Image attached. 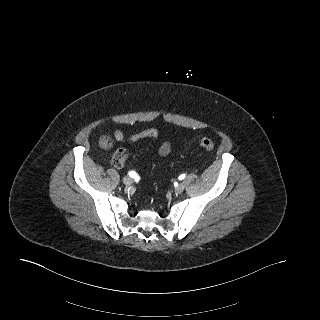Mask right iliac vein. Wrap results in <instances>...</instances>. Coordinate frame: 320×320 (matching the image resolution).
Here are the masks:
<instances>
[{"mask_svg":"<svg viewBox=\"0 0 320 320\" xmlns=\"http://www.w3.org/2000/svg\"><path fill=\"white\" fill-rule=\"evenodd\" d=\"M132 182H133L132 179L130 177H128V176H125L123 178V183L126 184V185H130V184H132Z\"/></svg>","mask_w":320,"mask_h":320,"instance_id":"1","label":"right iliac vein"}]
</instances>
